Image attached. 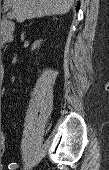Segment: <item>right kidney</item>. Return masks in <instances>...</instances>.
<instances>
[{"label":"right kidney","instance_id":"ca27d5eb","mask_svg":"<svg viewBox=\"0 0 109 170\" xmlns=\"http://www.w3.org/2000/svg\"><path fill=\"white\" fill-rule=\"evenodd\" d=\"M40 43H41V40H37V41H35L34 43H33V45H32V50H35L36 48H39V46H40Z\"/></svg>","mask_w":109,"mask_h":170}]
</instances>
